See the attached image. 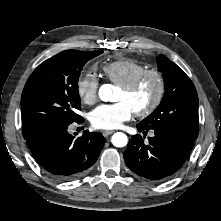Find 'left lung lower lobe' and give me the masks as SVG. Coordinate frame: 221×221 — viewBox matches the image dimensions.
Masks as SVG:
<instances>
[{
	"label": "left lung lower lobe",
	"instance_id": "1",
	"mask_svg": "<svg viewBox=\"0 0 221 221\" xmlns=\"http://www.w3.org/2000/svg\"><path fill=\"white\" fill-rule=\"evenodd\" d=\"M138 131L146 134L148 129L140 124ZM154 137L145 143L137 134L129 140L123 153L129 169L138 176L151 181H163L176 174L188 159L194 141L188 140L174 131L152 129Z\"/></svg>",
	"mask_w": 221,
	"mask_h": 221
}]
</instances>
